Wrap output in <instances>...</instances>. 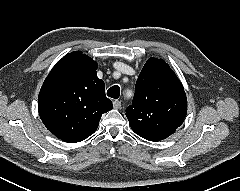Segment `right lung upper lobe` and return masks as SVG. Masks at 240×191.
Here are the masks:
<instances>
[{"label": "right lung upper lobe", "instance_id": "obj_1", "mask_svg": "<svg viewBox=\"0 0 240 191\" xmlns=\"http://www.w3.org/2000/svg\"><path fill=\"white\" fill-rule=\"evenodd\" d=\"M96 69L97 63L81 51L69 53L53 67L40 89V118L65 142H80L92 135L102 114L113 108Z\"/></svg>", "mask_w": 240, "mask_h": 191}]
</instances>
